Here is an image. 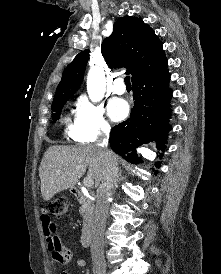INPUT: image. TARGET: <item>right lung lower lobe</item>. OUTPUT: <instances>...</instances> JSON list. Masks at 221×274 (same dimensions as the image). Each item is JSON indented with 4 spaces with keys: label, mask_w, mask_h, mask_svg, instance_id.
<instances>
[{
    "label": "right lung lower lobe",
    "mask_w": 221,
    "mask_h": 274,
    "mask_svg": "<svg viewBox=\"0 0 221 274\" xmlns=\"http://www.w3.org/2000/svg\"><path fill=\"white\" fill-rule=\"evenodd\" d=\"M169 79L165 59L147 74L132 80L134 108L131 117L113 127L110 134L112 150L131 163L140 161L136 148L144 143L155 140L159 150L166 147L172 97V92L167 90Z\"/></svg>",
    "instance_id": "98d812e1"
}]
</instances>
